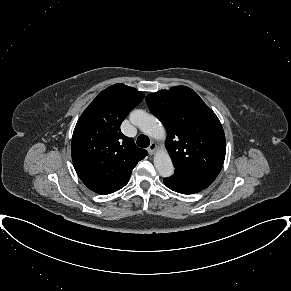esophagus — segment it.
Here are the masks:
<instances>
[{"mask_svg":"<svg viewBox=\"0 0 291 291\" xmlns=\"http://www.w3.org/2000/svg\"><path fill=\"white\" fill-rule=\"evenodd\" d=\"M156 150H157V145L154 142H152L147 149V151L150 155H153L156 152Z\"/></svg>","mask_w":291,"mask_h":291,"instance_id":"1","label":"esophagus"}]
</instances>
